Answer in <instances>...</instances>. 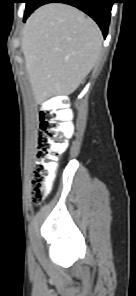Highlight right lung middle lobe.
I'll return each instance as SVG.
<instances>
[{
  "instance_id": "1",
  "label": "right lung middle lobe",
  "mask_w": 136,
  "mask_h": 296,
  "mask_svg": "<svg viewBox=\"0 0 136 296\" xmlns=\"http://www.w3.org/2000/svg\"><path fill=\"white\" fill-rule=\"evenodd\" d=\"M35 1L36 0H25L26 3V10H25V14L24 17L28 14H30L33 10H34V5H35Z\"/></svg>"
}]
</instances>
